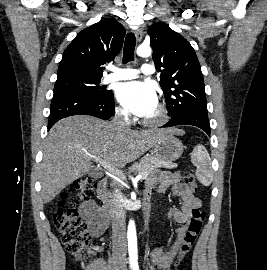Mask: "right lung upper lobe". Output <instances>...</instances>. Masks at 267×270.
<instances>
[{"label": "right lung upper lobe", "mask_w": 267, "mask_h": 270, "mask_svg": "<svg viewBox=\"0 0 267 270\" xmlns=\"http://www.w3.org/2000/svg\"><path fill=\"white\" fill-rule=\"evenodd\" d=\"M125 33L124 27L113 18L85 28L64 51L57 76L101 78L103 65L119 54Z\"/></svg>", "instance_id": "obj_1"}]
</instances>
